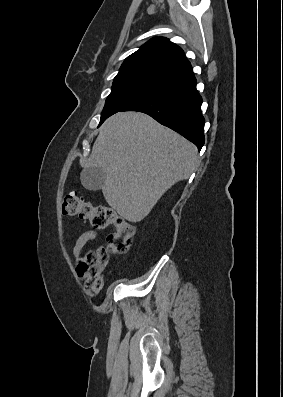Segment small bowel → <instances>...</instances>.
<instances>
[{"label":"small bowel","mask_w":283,"mask_h":397,"mask_svg":"<svg viewBox=\"0 0 283 397\" xmlns=\"http://www.w3.org/2000/svg\"><path fill=\"white\" fill-rule=\"evenodd\" d=\"M97 236L98 233L94 230L85 231L78 236L72 249V254L76 261L80 259L82 250L85 245L88 242L95 240Z\"/></svg>","instance_id":"small-bowel-1"}]
</instances>
